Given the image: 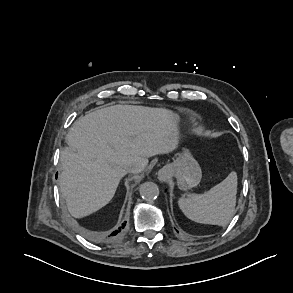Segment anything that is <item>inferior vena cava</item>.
<instances>
[{
    "instance_id": "602c4592",
    "label": "inferior vena cava",
    "mask_w": 293,
    "mask_h": 293,
    "mask_svg": "<svg viewBox=\"0 0 293 293\" xmlns=\"http://www.w3.org/2000/svg\"><path fill=\"white\" fill-rule=\"evenodd\" d=\"M140 171V167L139 166H135V165H132L128 168V172H131V173H135V172H138Z\"/></svg>"
}]
</instances>
